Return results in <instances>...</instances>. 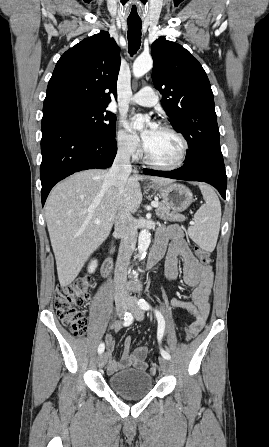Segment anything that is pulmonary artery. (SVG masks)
Returning a JSON list of instances; mask_svg holds the SVG:
<instances>
[{"mask_svg": "<svg viewBox=\"0 0 269 447\" xmlns=\"http://www.w3.org/2000/svg\"><path fill=\"white\" fill-rule=\"evenodd\" d=\"M129 101L133 104H139L145 107L156 106L159 102V96L156 90L146 86L141 88L137 93L133 94Z\"/></svg>", "mask_w": 269, "mask_h": 447, "instance_id": "1", "label": "pulmonary artery"}]
</instances>
